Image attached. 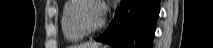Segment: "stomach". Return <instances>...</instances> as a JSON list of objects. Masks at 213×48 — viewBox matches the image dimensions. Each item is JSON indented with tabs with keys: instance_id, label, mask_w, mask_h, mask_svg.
Wrapping results in <instances>:
<instances>
[{
	"instance_id": "stomach-1",
	"label": "stomach",
	"mask_w": 213,
	"mask_h": 48,
	"mask_svg": "<svg viewBox=\"0 0 213 48\" xmlns=\"http://www.w3.org/2000/svg\"><path fill=\"white\" fill-rule=\"evenodd\" d=\"M98 48H108V47H106V46H101V47H98Z\"/></svg>"
}]
</instances>
